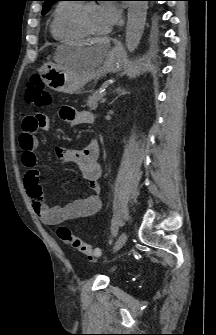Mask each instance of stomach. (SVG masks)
<instances>
[{
    "label": "stomach",
    "mask_w": 216,
    "mask_h": 335,
    "mask_svg": "<svg viewBox=\"0 0 216 335\" xmlns=\"http://www.w3.org/2000/svg\"><path fill=\"white\" fill-rule=\"evenodd\" d=\"M85 47V51L88 52ZM77 49L59 47L56 50L55 62L45 64L40 75L44 84L50 89L60 93H78L84 87L107 73H117L123 64V51L118 46L108 51L103 62L96 68L85 72H74L66 68L69 59Z\"/></svg>",
    "instance_id": "obj_1"
}]
</instances>
